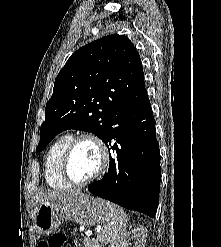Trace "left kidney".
<instances>
[{
    "label": "left kidney",
    "mask_w": 221,
    "mask_h": 247,
    "mask_svg": "<svg viewBox=\"0 0 221 247\" xmlns=\"http://www.w3.org/2000/svg\"><path fill=\"white\" fill-rule=\"evenodd\" d=\"M147 237V229L138 227L126 233L115 245L111 247H126L129 240H134L133 247H145Z\"/></svg>",
    "instance_id": "obj_1"
}]
</instances>
